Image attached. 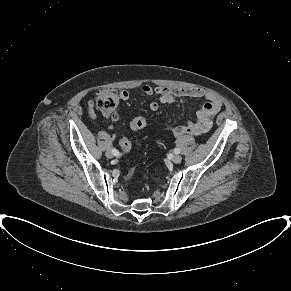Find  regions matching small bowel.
I'll return each instance as SVG.
<instances>
[{
  "label": "small bowel",
  "mask_w": 291,
  "mask_h": 291,
  "mask_svg": "<svg viewBox=\"0 0 291 291\" xmlns=\"http://www.w3.org/2000/svg\"><path fill=\"white\" fill-rule=\"evenodd\" d=\"M141 92L145 95H158L159 100L163 104H173L177 101H184L187 98H204L207 100L196 112V119L189 120L185 126H178L173 130L175 137H181L184 134L202 135L212 127V116L216 115L222 108V102L217 95L212 92L199 88H170L162 86L142 85ZM129 98L127 91H121L120 99ZM151 111L156 112L159 109L158 102H151L149 105ZM90 113L94 116L92 105L90 104ZM104 116L111 122L119 121V114L116 110L104 112Z\"/></svg>",
  "instance_id": "c3829d8e"
}]
</instances>
